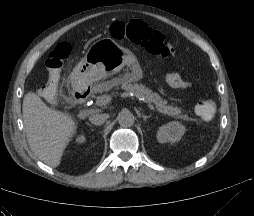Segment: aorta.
I'll use <instances>...</instances> for the list:
<instances>
[{"instance_id": "aorta-1", "label": "aorta", "mask_w": 254, "mask_h": 216, "mask_svg": "<svg viewBox=\"0 0 254 216\" xmlns=\"http://www.w3.org/2000/svg\"><path fill=\"white\" fill-rule=\"evenodd\" d=\"M117 120L122 127H131L135 122V117L130 111L123 110L118 114Z\"/></svg>"}]
</instances>
